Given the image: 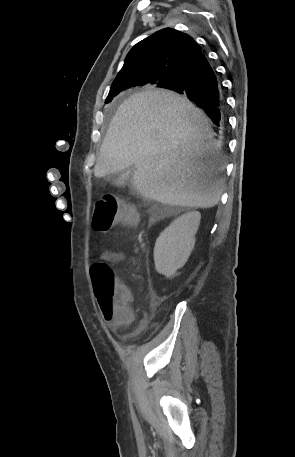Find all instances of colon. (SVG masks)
Returning a JSON list of instances; mask_svg holds the SVG:
<instances>
[{"mask_svg": "<svg viewBox=\"0 0 295 457\" xmlns=\"http://www.w3.org/2000/svg\"><path fill=\"white\" fill-rule=\"evenodd\" d=\"M132 207L122 204L115 196L107 194L96 202L92 224L96 231L106 233L118 221L132 223L136 220ZM97 302L105 319L128 320L132 291L125 283L119 282L111 268L96 262L90 267Z\"/></svg>", "mask_w": 295, "mask_h": 457, "instance_id": "colon-1", "label": "colon"}]
</instances>
